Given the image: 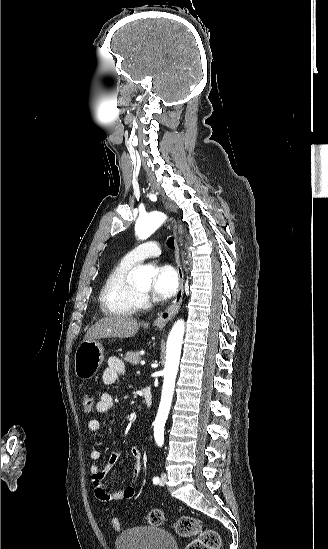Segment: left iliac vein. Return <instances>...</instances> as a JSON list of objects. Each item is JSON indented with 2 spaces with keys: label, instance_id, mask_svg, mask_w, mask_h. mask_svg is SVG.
Here are the masks:
<instances>
[{
  "label": "left iliac vein",
  "instance_id": "obj_1",
  "mask_svg": "<svg viewBox=\"0 0 328 549\" xmlns=\"http://www.w3.org/2000/svg\"><path fill=\"white\" fill-rule=\"evenodd\" d=\"M166 477H167V476H166L165 473L161 474V478H160V485H161V486H164V485H165V483H166Z\"/></svg>",
  "mask_w": 328,
  "mask_h": 549
}]
</instances>
